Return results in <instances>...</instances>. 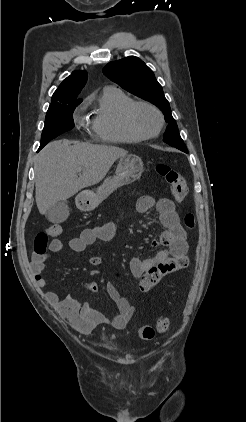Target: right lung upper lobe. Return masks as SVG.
Segmentation results:
<instances>
[{"label":"right lung upper lobe","mask_w":246,"mask_h":422,"mask_svg":"<svg viewBox=\"0 0 246 422\" xmlns=\"http://www.w3.org/2000/svg\"><path fill=\"white\" fill-rule=\"evenodd\" d=\"M87 81L86 71H74L57 88L52 96V103L49 107L71 102H81L77 96Z\"/></svg>","instance_id":"1"}]
</instances>
